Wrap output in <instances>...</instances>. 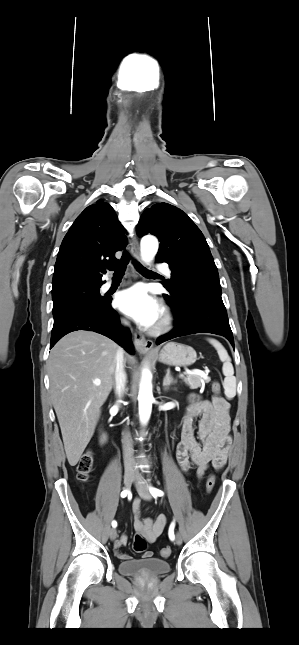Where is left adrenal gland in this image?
Wrapping results in <instances>:
<instances>
[{
	"instance_id": "obj_1",
	"label": "left adrenal gland",
	"mask_w": 299,
	"mask_h": 645,
	"mask_svg": "<svg viewBox=\"0 0 299 645\" xmlns=\"http://www.w3.org/2000/svg\"><path fill=\"white\" fill-rule=\"evenodd\" d=\"M177 382L173 379V377L170 374V369H167L166 375L163 379V387L165 390L169 389L171 385H175Z\"/></svg>"
}]
</instances>
